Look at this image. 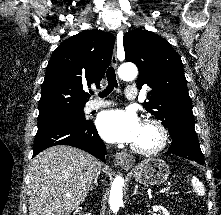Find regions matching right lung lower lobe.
Wrapping results in <instances>:
<instances>
[{
    "mask_svg": "<svg viewBox=\"0 0 221 215\" xmlns=\"http://www.w3.org/2000/svg\"><path fill=\"white\" fill-rule=\"evenodd\" d=\"M55 145H70L80 148L105 162V145L90 120L59 122L38 127L33 157L42 150Z\"/></svg>",
    "mask_w": 221,
    "mask_h": 215,
    "instance_id": "right-lung-lower-lobe-1",
    "label": "right lung lower lobe"
}]
</instances>
